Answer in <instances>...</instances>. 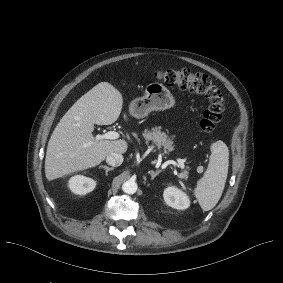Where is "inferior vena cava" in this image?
Masks as SVG:
<instances>
[{
	"instance_id": "inferior-vena-cava-1",
	"label": "inferior vena cava",
	"mask_w": 283,
	"mask_h": 283,
	"mask_svg": "<svg viewBox=\"0 0 283 283\" xmlns=\"http://www.w3.org/2000/svg\"><path fill=\"white\" fill-rule=\"evenodd\" d=\"M106 162L111 166L118 167L123 162V156L118 153H112L107 156Z\"/></svg>"
}]
</instances>
